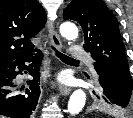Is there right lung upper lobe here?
I'll return each instance as SVG.
<instances>
[{
    "instance_id": "right-lung-upper-lobe-1",
    "label": "right lung upper lobe",
    "mask_w": 133,
    "mask_h": 118,
    "mask_svg": "<svg viewBox=\"0 0 133 118\" xmlns=\"http://www.w3.org/2000/svg\"><path fill=\"white\" fill-rule=\"evenodd\" d=\"M45 23V11L37 0H0V68L33 52L30 38Z\"/></svg>"
}]
</instances>
